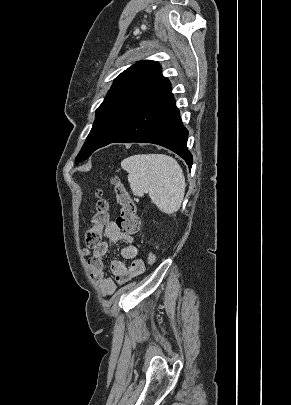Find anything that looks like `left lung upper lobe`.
Segmentation results:
<instances>
[{"instance_id":"5c2ea615","label":"left lung upper lobe","mask_w":291,"mask_h":405,"mask_svg":"<svg viewBox=\"0 0 291 405\" xmlns=\"http://www.w3.org/2000/svg\"><path fill=\"white\" fill-rule=\"evenodd\" d=\"M161 78L159 63L144 60L130 66L114 80L96 110L93 127L75 159L76 165L124 132L143 97Z\"/></svg>"}]
</instances>
